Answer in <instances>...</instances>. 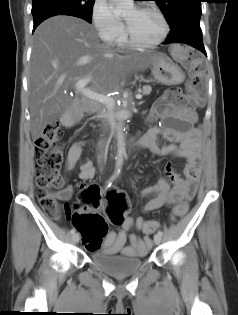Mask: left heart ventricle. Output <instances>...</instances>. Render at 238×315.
I'll return each instance as SVG.
<instances>
[{
	"label": "left heart ventricle",
	"instance_id": "b2bd125f",
	"mask_svg": "<svg viewBox=\"0 0 238 315\" xmlns=\"http://www.w3.org/2000/svg\"><path fill=\"white\" fill-rule=\"evenodd\" d=\"M124 20L133 38L139 42H153L160 37L163 30L158 16L147 10L130 7L124 14Z\"/></svg>",
	"mask_w": 238,
	"mask_h": 315
}]
</instances>
